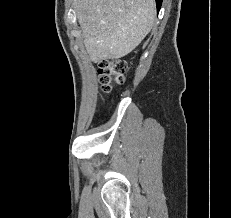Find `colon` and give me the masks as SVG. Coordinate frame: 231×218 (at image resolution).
Returning a JSON list of instances; mask_svg holds the SVG:
<instances>
[{
    "label": "colon",
    "instance_id": "obj_1",
    "mask_svg": "<svg viewBox=\"0 0 231 218\" xmlns=\"http://www.w3.org/2000/svg\"><path fill=\"white\" fill-rule=\"evenodd\" d=\"M126 68V62L120 59H102L98 62L99 79L105 93L112 90L114 83L123 81Z\"/></svg>",
    "mask_w": 231,
    "mask_h": 218
}]
</instances>
